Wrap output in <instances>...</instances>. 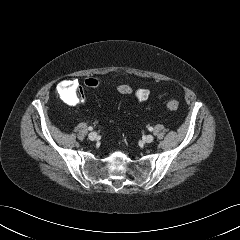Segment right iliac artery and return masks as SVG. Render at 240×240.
<instances>
[{"mask_svg":"<svg viewBox=\"0 0 240 240\" xmlns=\"http://www.w3.org/2000/svg\"><path fill=\"white\" fill-rule=\"evenodd\" d=\"M88 130H89V131H92V130H93V127H92V126H89V127H88Z\"/></svg>","mask_w":240,"mask_h":240,"instance_id":"obj_1","label":"right iliac artery"}]
</instances>
